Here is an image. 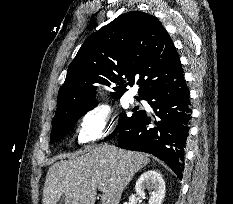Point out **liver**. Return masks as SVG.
<instances>
[{"label":"liver","instance_id":"obj_1","mask_svg":"<svg viewBox=\"0 0 233 204\" xmlns=\"http://www.w3.org/2000/svg\"><path fill=\"white\" fill-rule=\"evenodd\" d=\"M150 159L142 153L100 144L75 159L54 163L48 170L43 204H94L103 186L101 204H119L123 190Z\"/></svg>","mask_w":233,"mask_h":204}]
</instances>
